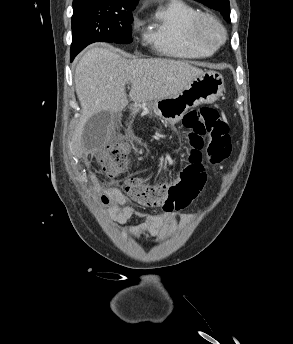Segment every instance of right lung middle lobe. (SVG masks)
I'll return each instance as SVG.
<instances>
[{
    "label": "right lung middle lobe",
    "mask_w": 293,
    "mask_h": 344,
    "mask_svg": "<svg viewBox=\"0 0 293 344\" xmlns=\"http://www.w3.org/2000/svg\"><path fill=\"white\" fill-rule=\"evenodd\" d=\"M134 9L135 5L95 0L73 4L71 58L93 42L130 43Z\"/></svg>",
    "instance_id": "1"
}]
</instances>
